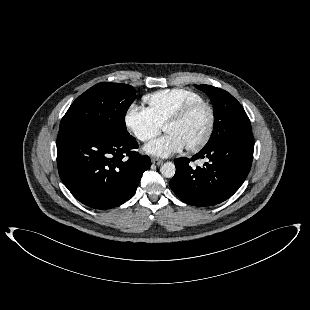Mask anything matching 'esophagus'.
<instances>
[{
  "label": "esophagus",
  "instance_id": "obj_1",
  "mask_svg": "<svg viewBox=\"0 0 310 310\" xmlns=\"http://www.w3.org/2000/svg\"><path fill=\"white\" fill-rule=\"evenodd\" d=\"M151 161H152L153 164H156V165H161L163 163V161L161 159H158V158H155V157H152Z\"/></svg>",
  "mask_w": 310,
  "mask_h": 310
}]
</instances>
